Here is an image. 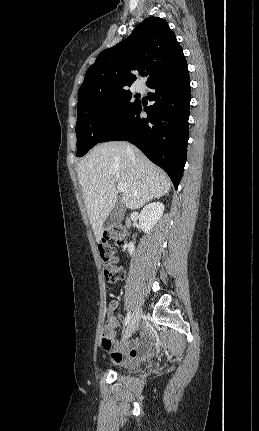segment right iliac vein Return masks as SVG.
<instances>
[{"mask_svg":"<svg viewBox=\"0 0 259 431\" xmlns=\"http://www.w3.org/2000/svg\"><path fill=\"white\" fill-rule=\"evenodd\" d=\"M141 317H142V311H141V309H137L135 311V313L133 314L131 321L129 322V324L126 328L125 334L123 336V340H127L132 335V333L137 328Z\"/></svg>","mask_w":259,"mask_h":431,"instance_id":"right-iliac-vein-1","label":"right iliac vein"}]
</instances>
